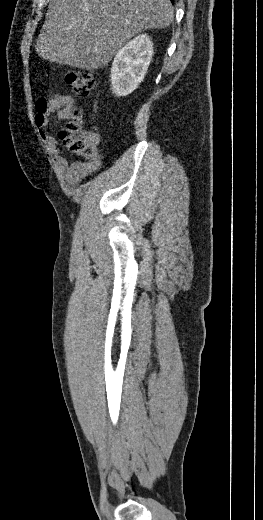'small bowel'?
Segmentation results:
<instances>
[{
  "instance_id": "c3829d8e",
  "label": "small bowel",
  "mask_w": 263,
  "mask_h": 520,
  "mask_svg": "<svg viewBox=\"0 0 263 520\" xmlns=\"http://www.w3.org/2000/svg\"><path fill=\"white\" fill-rule=\"evenodd\" d=\"M75 107V99L71 95H61L51 93L37 99L35 104L34 121L40 131L41 137L53 154V161L63 178L69 185H75L87 177L89 174L98 170L101 166V158L98 156L92 161H76L69 163L62 155L55 138L46 130L49 125V116L54 114L59 121L71 118L72 110ZM86 137L97 147L99 136L94 132H87Z\"/></svg>"
}]
</instances>
